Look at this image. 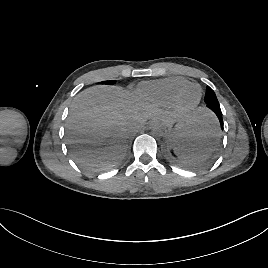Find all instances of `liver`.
Here are the masks:
<instances>
[{
    "label": "liver",
    "instance_id": "6515ba94",
    "mask_svg": "<svg viewBox=\"0 0 268 268\" xmlns=\"http://www.w3.org/2000/svg\"><path fill=\"white\" fill-rule=\"evenodd\" d=\"M209 115L198 109L190 124ZM147 119L172 125L175 119L153 105L140 103L117 86H93L73 100L66 120L67 143L79 154L78 162L88 168H106L119 157L132 129Z\"/></svg>",
    "mask_w": 268,
    "mask_h": 268
}]
</instances>
